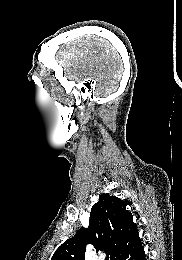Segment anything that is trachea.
<instances>
[{
	"label": "trachea",
	"mask_w": 182,
	"mask_h": 260,
	"mask_svg": "<svg viewBox=\"0 0 182 260\" xmlns=\"http://www.w3.org/2000/svg\"><path fill=\"white\" fill-rule=\"evenodd\" d=\"M105 260H109V256H107Z\"/></svg>",
	"instance_id": "obj_1"
}]
</instances>
